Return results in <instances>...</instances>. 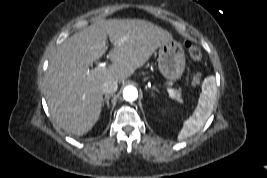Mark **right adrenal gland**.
Returning a JSON list of instances; mask_svg holds the SVG:
<instances>
[{
    "instance_id": "right-adrenal-gland-1",
    "label": "right adrenal gland",
    "mask_w": 267,
    "mask_h": 178,
    "mask_svg": "<svg viewBox=\"0 0 267 178\" xmlns=\"http://www.w3.org/2000/svg\"><path fill=\"white\" fill-rule=\"evenodd\" d=\"M111 95H106L105 98L102 101V107H104L105 103L107 105V108L109 109L110 104H109V99H110Z\"/></svg>"
}]
</instances>
